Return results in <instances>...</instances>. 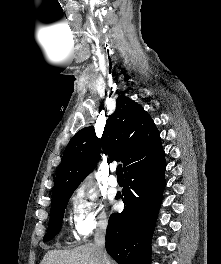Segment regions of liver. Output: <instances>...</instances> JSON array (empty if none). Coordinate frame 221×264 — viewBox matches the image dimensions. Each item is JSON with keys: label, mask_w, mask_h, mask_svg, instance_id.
Instances as JSON below:
<instances>
[{"label": "liver", "mask_w": 221, "mask_h": 264, "mask_svg": "<svg viewBox=\"0 0 221 264\" xmlns=\"http://www.w3.org/2000/svg\"><path fill=\"white\" fill-rule=\"evenodd\" d=\"M110 264H116L109 259ZM40 264H102L93 244L82 245L72 250H51Z\"/></svg>", "instance_id": "1"}]
</instances>
